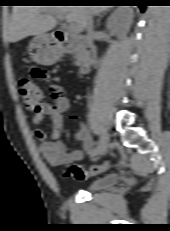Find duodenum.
<instances>
[{
	"instance_id": "410a0bca",
	"label": "duodenum",
	"mask_w": 170,
	"mask_h": 231,
	"mask_svg": "<svg viewBox=\"0 0 170 231\" xmlns=\"http://www.w3.org/2000/svg\"><path fill=\"white\" fill-rule=\"evenodd\" d=\"M58 47L64 52H77V65L81 74L88 73L90 67L98 61L95 45L80 37H75L67 31L54 32Z\"/></svg>"
}]
</instances>
